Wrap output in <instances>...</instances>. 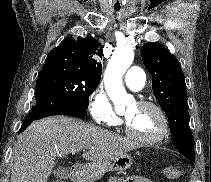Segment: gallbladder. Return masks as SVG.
Returning a JSON list of instances; mask_svg holds the SVG:
<instances>
[{"label": "gallbladder", "instance_id": "obj_1", "mask_svg": "<svg viewBox=\"0 0 211 182\" xmlns=\"http://www.w3.org/2000/svg\"><path fill=\"white\" fill-rule=\"evenodd\" d=\"M65 171H66V169H64V168H58V169H56V170L54 171V175H55L56 177H61L62 174H63V172H65Z\"/></svg>", "mask_w": 211, "mask_h": 182}]
</instances>
